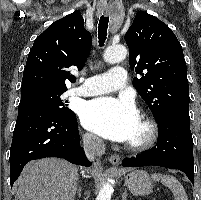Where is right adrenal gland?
Returning a JSON list of instances; mask_svg holds the SVG:
<instances>
[{"label": "right adrenal gland", "mask_w": 201, "mask_h": 200, "mask_svg": "<svg viewBox=\"0 0 201 200\" xmlns=\"http://www.w3.org/2000/svg\"><path fill=\"white\" fill-rule=\"evenodd\" d=\"M77 197H78V198L81 197V186H78Z\"/></svg>", "instance_id": "1"}]
</instances>
